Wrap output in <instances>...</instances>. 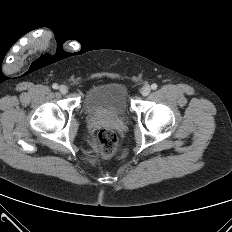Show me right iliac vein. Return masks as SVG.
<instances>
[{
  "mask_svg": "<svg viewBox=\"0 0 232 232\" xmlns=\"http://www.w3.org/2000/svg\"><path fill=\"white\" fill-rule=\"evenodd\" d=\"M59 91L62 94H66L68 92V87L66 85H61V86H59Z\"/></svg>",
  "mask_w": 232,
  "mask_h": 232,
  "instance_id": "right-iliac-vein-1",
  "label": "right iliac vein"
}]
</instances>
